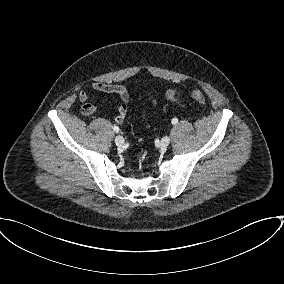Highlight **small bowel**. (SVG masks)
<instances>
[{
  "mask_svg": "<svg viewBox=\"0 0 284 284\" xmlns=\"http://www.w3.org/2000/svg\"><path fill=\"white\" fill-rule=\"evenodd\" d=\"M89 88L97 92L116 94L120 97V103L118 106V112L115 116V122L118 124H122L127 115V106L129 100L127 89L122 85L104 83V82H93L92 84H90ZM146 95L151 102L152 108H156L158 105V100L155 98V96L149 90L146 91ZM165 98L167 99V101L172 103L179 102L180 101L179 89L176 88L168 89L165 93ZM79 99L81 102H83V105L81 107L82 115L89 116L97 111V107L94 104L88 102L89 91L87 89H82L79 92Z\"/></svg>",
  "mask_w": 284,
  "mask_h": 284,
  "instance_id": "small-bowel-1",
  "label": "small bowel"
}]
</instances>
